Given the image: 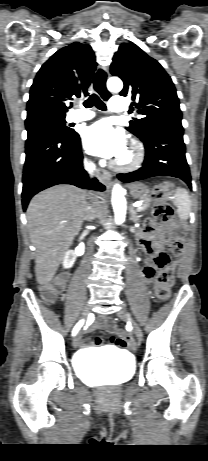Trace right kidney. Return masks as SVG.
Wrapping results in <instances>:
<instances>
[{"instance_id": "ca27d5eb", "label": "right kidney", "mask_w": 208, "mask_h": 461, "mask_svg": "<svg viewBox=\"0 0 208 461\" xmlns=\"http://www.w3.org/2000/svg\"><path fill=\"white\" fill-rule=\"evenodd\" d=\"M84 253V245L83 244H80L76 249L75 251L73 250H68L65 255H64V258H63V267L65 269H69L73 266L75 260H76V256L77 255H82Z\"/></svg>"}]
</instances>
